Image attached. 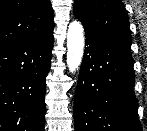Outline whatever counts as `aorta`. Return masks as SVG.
Returning <instances> with one entry per match:
<instances>
[{
    "label": "aorta",
    "mask_w": 147,
    "mask_h": 131,
    "mask_svg": "<svg viewBox=\"0 0 147 131\" xmlns=\"http://www.w3.org/2000/svg\"><path fill=\"white\" fill-rule=\"evenodd\" d=\"M84 50V29L78 21L69 25L67 32V66L75 72L81 65Z\"/></svg>",
    "instance_id": "762f6f07"
}]
</instances>
